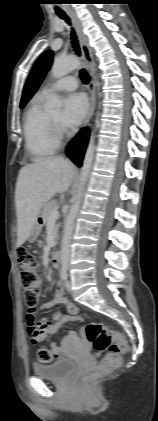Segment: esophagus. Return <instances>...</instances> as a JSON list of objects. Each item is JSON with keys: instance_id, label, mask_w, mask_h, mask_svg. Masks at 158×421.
<instances>
[{"instance_id": "1", "label": "esophagus", "mask_w": 158, "mask_h": 421, "mask_svg": "<svg viewBox=\"0 0 158 421\" xmlns=\"http://www.w3.org/2000/svg\"><path fill=\"white\" fill-rule=\"evenodd\" d=\"M70 16L74 22L77 34H78V39H79V43H80V47H81V51L83 54V58L85 60L86 63V67L90 76V83L88 86V91H89V96H90V105H89V109L84 121V126H87V124L89 123L93 113H94V109H95V105H96V83H95V60H94V53H93V49L89 44L88 38L85 35L81 22L78 19V17L75 15V13L71 12Z\"/></svg>"}]
</instances>
